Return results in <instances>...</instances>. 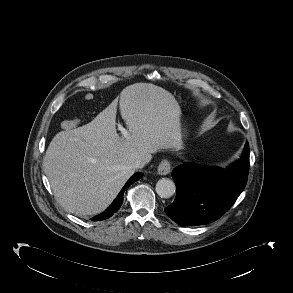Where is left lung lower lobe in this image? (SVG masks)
I'll use <instances>...</instances> for the list:
<instances>
[{
  "instance_id": "obj_1",
  "label": "left lung lower lobe",
  "mask_w": 293,
  "mask_h": 293,
  "mask_svg": "<svg viewBox=\"0 0 293 293\" xmlns=\"http://www.w3.org/2000/svg\"><path fill=\"white\" fill-rule=\"evenodd\" d=\"M249 144L243 156L226 169L184 163L172 177L177 193L166 214L183 226L203 225L221 217L236 201L247 183Z\"/></svg>"
}]
</instances>
